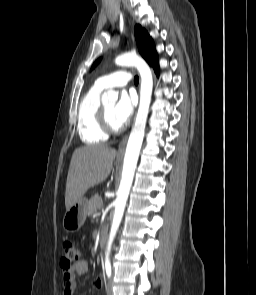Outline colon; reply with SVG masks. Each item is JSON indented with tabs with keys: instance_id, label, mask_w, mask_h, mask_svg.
<instances>
[{
	"instance_id": "5ec220e1",
	"label": "colon",
	"mask_w": 256,
	"mask_h": 295,
	"mask_svg": "<svg viewBox=\"0 0 256 295\" xmlns=\"http://www.w3.org/2000/svg\"><path fill=\"white\" fill-rule=\"evenodd\" d=\"M79 259V251L71 241H64L61 245L60 264L64 269H70Z\"/></svg>"
}]
</instances>
